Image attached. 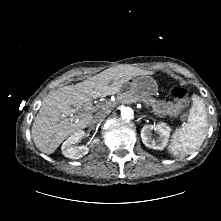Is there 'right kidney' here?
Here are the masks:
<instances>
[{
  "mask_svg": "<svg viewBox=\"0 0 221 221\" xmlns=\"http://www.w3.org/2000/svg\"><path fill=\"white\" fill-rule=\"evenodd\" d=\"M85 132L78 131L71 135L61 147L62 154L70 159H79L82 156L86 155L89 152L87 146H75L82 138H84ZM99 139H95L94 143H98Z\"/></svg>",
  "mask_w": 221,
  "mask_h": 221,
  "instance_id": "right-kidney-1",
  "label": "right kidney"
}]
</instances>
